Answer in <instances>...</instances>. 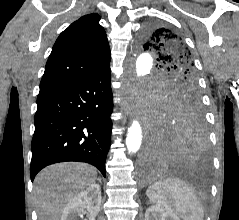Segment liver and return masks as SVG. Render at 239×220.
<instances>
[{"mask_svg":"<svg viewBox=\"0 0 239 220\" xmlns=\"http://www.w3.org/2000/svg\"><path fill=\"white\" fill-rule=\"evenodd\" d=\"M96 178L95 168L84 163H59L43 169L34 185L39 220H60L65 205Z\"/></svg>","mask_w":239,"mask_h":220,"instance_id":"6515ba94","label":"liver"}]
</instances>
